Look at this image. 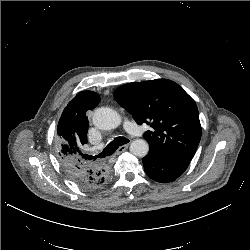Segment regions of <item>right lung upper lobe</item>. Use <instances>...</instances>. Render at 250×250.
I'll list each match as a JSON object with an SVG mask.
<instances>
[{"instance_id":"obj_1","label":"right lung upper lobe","mask_w":250,"mask_h":250,"mask_svg":"<svg viewBox=\"0 0 250 250\" xmlns=\"http://www.w3.org/2000/svg\"><path fill=\"white\" fill-rule=\"evenodd\" d=\"M100 102L99 94L93 91L79 92L66 106L57 127L59 156L64 169L76 171L91 168L95 172H104L106 163L96 160L82 152L87 143V112L93 110Z\"/></svg>"}]
</instances>
